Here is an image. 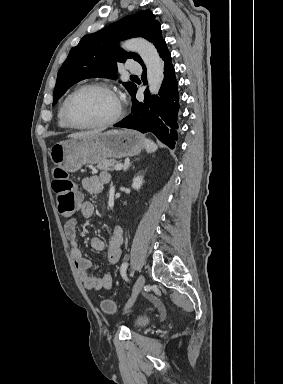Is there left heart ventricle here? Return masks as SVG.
Instances as JSON below:
<instances>
[{
    "label": "left heart ventricle",
    "instance_id": "left-heart-ventricle-1",
    "mask_svg": "<svg viewBox=\"0 0 283 384\" xmlns=\"http://www.w3.org/2000/svg\"><path fill=\"white\" fill-rule=\"evenodd\" d=\"M116 111L114 98L102 90H86L70 102L68 115L77 126L92 125L111 118Z\"/></svg>",
    "mask_w": 283,
    "mask_h": 384
}]
</instances>
